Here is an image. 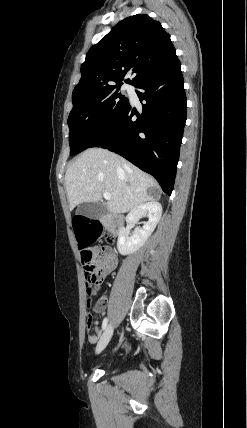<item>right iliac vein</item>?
I'll use <instances>...</instances> for the list:
<instances>
[{"label":"right iliac vein","mask_w":247,"mask_h":428,"mask_svg":"<svg viewBox=\"0 0 247 428\" xmlns=\"http://www.w3.org/2000/svg\"><path fill=\"white\" fill-rule=\"evenodd\" d=\"M113 334V326L110 324L108 325V327L105 329L104 333L102 334L97 347H96V353H100L102 352L105 347L108 345L111 337Z\"/></svg>","instance_id":"right-iliac-vein-1"}]
</instances>
